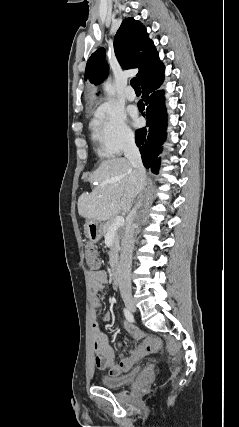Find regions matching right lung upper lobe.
Segmentation results:
<instances>
[{
	"label": "right lung upper lobe",
	"instance_id": "1",
	"mask_svg": "<svg viewBox=\"0 0 239 427\" xmlns=\"http://www.w3.org/2000/svg\"><path fill=\"white\" fill-rule=\"evenodd\" d=\"M116 57L125 69L139 68L137 76L141 84L164 71V66L146 28L134 18L123 20L114 38ZM105 49L99 48L88 59L85 79L99 84L108 73Z\"/></svg>",
	"mask_w": 239,
	"mask_h": 427
}]
</instances>
